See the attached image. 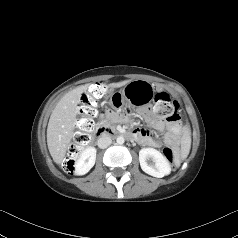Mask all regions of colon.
I'll use <instances>...</instances> for the list:
<instances>
[{
	"mask_svg": "<svg viewBox=\"0 0 238 238\" xmlns=\"http://www.w3.org/2000/svg\"><path fill=\"white\" fill-rule=\"evenodd\" d=\"M105 93L106 86L101 83H96L81 97L78 107L80 118L76 122L77 130L73 134L72 142L68 147L67 156L63 162L64 169L69 173L73 172L76 158L90 141L91 133L94 128L93 117L97 113L98 101ZM153 112L158 117L170 122H175L179 119V104L176 100L172 99L169 94L161 92L155 96ZM163 154L165 158L174 165L175 153L170 146L163 148Z\"/></svg>",
	"mask_w": 238,
	"mask_h": 238,
	"instance_id": "obj_1",
	"label": "colon"
}]
</instances>
